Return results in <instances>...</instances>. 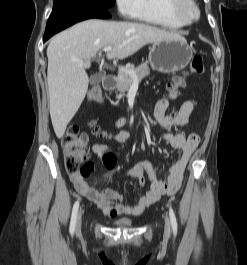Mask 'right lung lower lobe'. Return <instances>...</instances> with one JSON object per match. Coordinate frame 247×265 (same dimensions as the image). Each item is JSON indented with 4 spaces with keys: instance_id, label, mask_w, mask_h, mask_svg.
Segmentation results:
<instances>
[{
    "instance_id": "obj_1",
    "label": "right lung lower lobe",
    "mask_w": 247,
    "mask_h": 265,
    "mask_svg": "<svg viewBox=\"0 0 247 265\" xmlns=\"http://www.w3.org/2000/svg\"><path fill=\"white\" fill-rule=\"evenodd\" d=\"M110 17L107 9L99 7H72L53 11L47 21L43 42L79 21L90 18L108 19Z\"/></svg>"
}]
</instances>
